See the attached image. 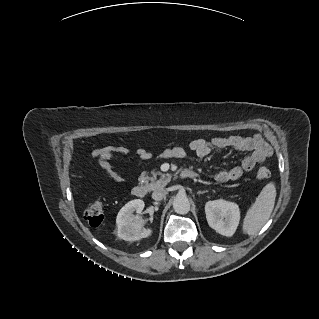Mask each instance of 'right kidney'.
Instances as JSON below:
<instances>
[{
    "label": "right kidney",
    "mask_w": 319,
    "mask_h": 319,
    "mask_svg": "<svg viewBox=\"0 0 319 319\" xmlns=\"http://www.w3.org/2000/svg\"><path fill=\"white\" fill-rule=\"evenodd\" d=\"M144 206L143 200L134 199L120 209L116 218V230L119 238L126 241H136L152 234L151 229L144 228L142 217L133 214L134 212L140 213Z\"/></svg>",
    "instance_id": "right-kidney-1"
}]
</instances>
